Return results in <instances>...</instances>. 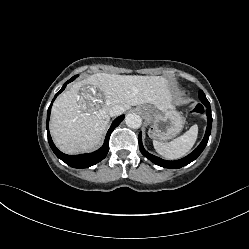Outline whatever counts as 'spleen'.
Segmentation results:
<instances>
[{
    "mask_svg": "<svg viewBox=\"0 0 249 249\" xmlns=\"http://www.w3.org/2000/svg\"><path fill=\"white\" fill-rule=\"evenodd\" d=\"M198 136V126L193 125L182 136L169 143L153 140V145L158 154L162 157L175 160L185 156L194 146Z\"/></svg>",
    "mask_w": 249,
    "mask_h": 249,
    "instance_id": "1",
    "label": "spleen"
}]
</instances>
